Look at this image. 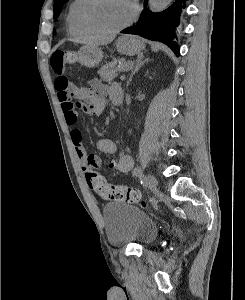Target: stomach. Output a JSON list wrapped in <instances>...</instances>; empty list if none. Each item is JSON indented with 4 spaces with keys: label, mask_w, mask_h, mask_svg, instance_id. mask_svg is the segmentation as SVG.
Masks as SVG:
<instances>
[{
    "label": "stomach",
    "mask_w": 245,
    "mask_h": 300,
    "mask_svg": "<svg viewBox=\"0 0 245 300\" xmlns=\"http://www.w3.org/2000/svg\"><path fill=\"white\" fill-rule=\"evenodd\" d=\"M117 51L125 55H135L145 48V43L137 36L123 35L116 41ZM103 58V52L98 46H84L78 51V62L86 67L97 66Z\"/></svg>",
    "instance_id": "1"
}]
</instances>
